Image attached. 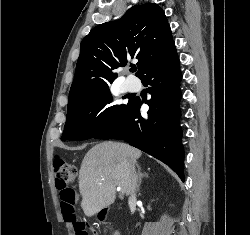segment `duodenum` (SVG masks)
Listing matches in <instances>:
<instances>
[{
	"mask_svg": "<svg viewBox=\"0 0 250 235\" xmlns=\"http://www.w3.org/2000/svg\"><path fill=\"white\" fill-rule=\"evenodd\" d=\"M114 234H115V235H120V233H119V232H115Z\"/></svg>",
	"mask_w": 250,
	"mask_h": 235,
	"instance_id": "410a0bca",
	"label": "duodenum"
}]
</instances>
